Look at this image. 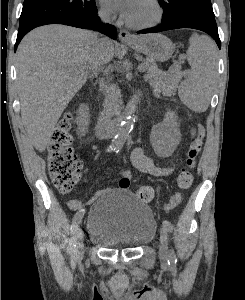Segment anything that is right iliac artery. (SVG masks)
<instances>
[{
	"label": "right iliac artery",
	"mask_w": 245,
	"mask_h": 300,
	"mask_svg": "<svg viewBox=\"0 0 245 300\" xmlns=\"http://www.w3.org/2000/svg\"><path fill=\"white\" fill-rule=\"evenodd\" d=\"M112 150H115V148L113 149V147H109L107 149V152H111ZM83 215H84L83 210L77 212L72 220V224L70 227L71 238L69 239L68 252L70 253L73 259H75L76 257L75 234L78 230L79 223L81 222Z\"/></svg>",
	"instance_id": "obj_1"
}]
</instances>
